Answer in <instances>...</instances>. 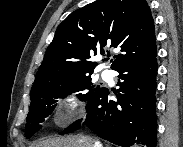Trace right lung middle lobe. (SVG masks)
<instances>
[{
  "label": "right lung middle lobe",
  "instance_id": "obj_1",
  "mask_svg": "<svg viewBox=\"0 0 183 147\" xmlns=\"http://www.w3.org/2000/svg\"><path fill=\"white\" fill-rule=\"evenodd\" d=\"M99 89L100 86L92 83L91 74H89L59 79L44 87L32 90L30 93L31 104L26 119V138L41 128V123L56 107L58 98L66 97L74 92H81L77 95L80 100L88 101Z\"/></svg>",
  "mask_w": 183,
  "mask_h": 147
}]
</instances>
